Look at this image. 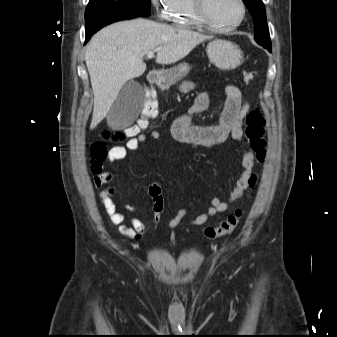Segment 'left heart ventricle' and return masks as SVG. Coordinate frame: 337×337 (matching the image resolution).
Listing matches in <instances>:
<instances>
[{
    "label": "left heart ventricle",
    "instance_id": "left-heart-ventricle-1",
    "mask_svg": "<svg viewBox=\"0 0 337 337\" xmlns=\"http://www.w3.org/2000/svg\"><path fill=\"white\" fill-rule=\"evenodd\" d=\"M206 10L213 22L223 26L235 23L241 16L238 0H206Z\"/></svg>",
    "mask_w": 337,
    "mask_h": 337
}]
</instances>
